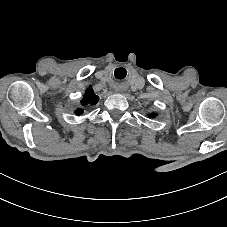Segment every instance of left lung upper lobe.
<instances>
[{"mask_svg": "<svg viewBox=\"0 0 227 227\" xmlns=\"http://www.w3.org/2000/svg\"><path fill=\"white\" fill-rule=\"evenodd\" d=\"M150 116H151V117H154V116H155V114H151Z\"/></svg>", "mask_w": 227, "mask_h": 227, "instance_id": "left-lung-upper-lobe-1", "label": "left lung upper lobe"}]
</instances>
